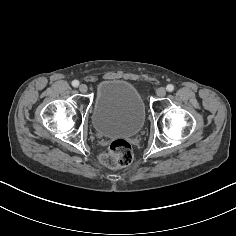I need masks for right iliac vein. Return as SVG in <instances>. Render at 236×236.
I'll list each match as a JSON object with an SVG mask.
<instances>
[{"instance_id": "63e3f726", "label": "right iliac vein", "mask_w": 236, "mask_h": 236, "mask_svg": "<svg viewBox=\"0 0 236 236\" xmlns=\"http://www.w3.org/2000/svg\"><path fill=\"white\" fill-rule=\"evenodd\" d=\"M79 91H80L81 93H86V92L88 91L87 85L81 84V85L79 86Z\"/></svg>"}]
</instances>
